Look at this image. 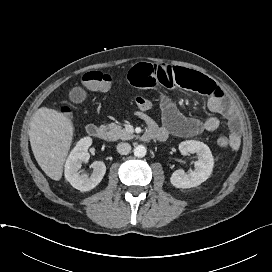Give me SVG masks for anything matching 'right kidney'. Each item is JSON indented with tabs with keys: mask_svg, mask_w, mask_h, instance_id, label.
<instances>
[{
	"mask_svg": "<svg viewBox=\"0 0 272 272\" xmlns=\"http://www.w3.org/2000/svg\"><path fill=\"white\" fill-rule=\"evenodd\" d=\"M92 144L90 137L80 139L76 146L71 151L65 164V178L76 189L81 192L89 191L95 188L103 179L106 166L102 161H95L92 163L93 172L88 174H80L79 169L82 163H87L90 154L88 148Z\"/></svg>",
	"mask_w": 272,
	"mask_h": 272,
	"instance_id": "right-kidney-1",
	"label": "right kidney"
}]
</instances>
